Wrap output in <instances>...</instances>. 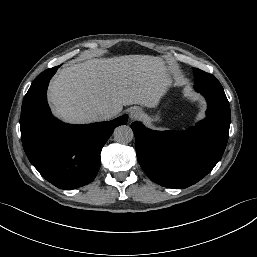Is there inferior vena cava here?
Listing matches in <instances>:
<instances>
[{"label": "inferior vena cava", "instance_id": "obj_1", "mask_svg": "<svg viewBox=\"0 0 257 257\" xmlns=\"http://www.w3.org/2000/svg\"><path fill=\"white\" fill-rule=\"evenodd\" d=\"M118 114L115 110H98L95 118L97 121H105L115 117Z\"/></svg>", "mask_w": 257, "mask_h": 257}]
</instances>
